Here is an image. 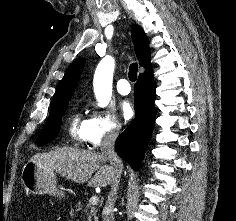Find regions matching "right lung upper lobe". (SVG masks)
<instances>
[{
  "mask_svg": "<svg viewBox=\"0 0 236 221\" xmlns=\"http://www.w3.org/2000/svg\"><path fill=\"white\" fill-rule=\"evenodd\" d=\"M131 32L139 64L145 68L144 73L151 71L152 70V66L150 63L151 50L149 48V41L146 34L142 30V28L137 24L132 25ZM84 63L85 60L83 58H80L74 61L68 67L63 79L61 80L58 86L56 93L53 96L51 109L65 102H69L74 93L81 72L83 70Z\"/></svg>",
  "mask_w": 236,
  "mask_h": 221,
  "instance_id": "obj_1",
  "label": "right lung upper lobe"
}]
</instances>
